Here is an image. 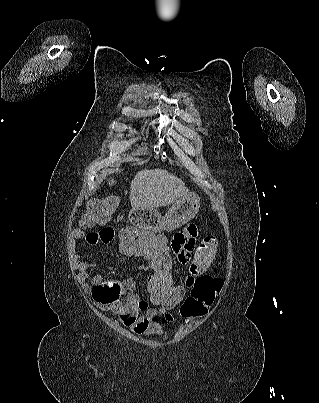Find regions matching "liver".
<instances>
[{
  "label": "liver",
  "mask_w": 319,
  "mask_h": 403,
  "mask_svg": "<svg viewBox=\"0 0 319 403\" xmlns=\"http://www.w3.org/2000/svg\"><path fill=\"white\" fill-rule=\"evenodd\" d=\"M115 180H109V185ZM184 182L167 170L139 171L130 184L129 200L133 209L163 207L188 195Z\"/></svg>",
  "instance_id": "obj_1"
}]
</instances>
